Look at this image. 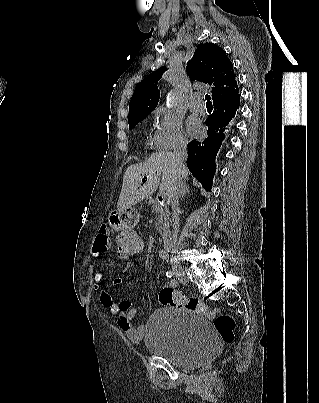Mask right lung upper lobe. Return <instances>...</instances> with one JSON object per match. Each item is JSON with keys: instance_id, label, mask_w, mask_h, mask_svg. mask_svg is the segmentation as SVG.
I'll list each match as a JSON object with an SVG mask.
<instances>
[{"instance_id": "1", "label": "right lung upper lobe", "mask_w": 319, "mask_h": 403, "mask_svg": "<svg viewBox=\"0 0 319 403\" xmlns=\"http://www.w3.org/2000/svg\"><path fill=\"white\" fill-rule=\"evenodd\" d=\"M166 70V67L159 68L136 87L130 100L128 121L148 115L156 108L160 95L156 83ZM186 71L190 79L214 86L213 102L238 91L233 64L225 51L212 43L197 46Z\"/></svg>"}]
</instances>
